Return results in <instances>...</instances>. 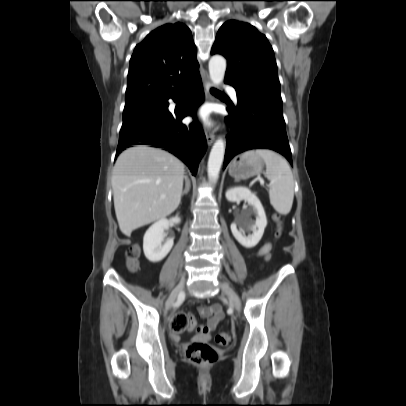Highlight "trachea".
<instances>
[{"label": "trachea", "mask_w": 406, "mask_h": 406, "mask_svg": "<svg viewBox=\"0 0 406 406\" xmlns=\"http://www.w3.org/2000/svg\"><path fill=\"white\" fill-rule=\"evenodd\" d=\"M211 91L213 92V93H221L220 91H218V90H216V89H211Z\"/></svg>", "instance_id": "3493384b"}]
</instances>
